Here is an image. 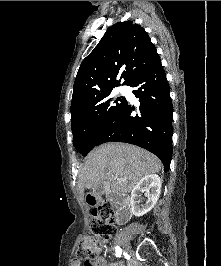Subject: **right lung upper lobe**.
<instances>
[{
    "label": "right lung upper lobe",
    "instance_id": "1",
    "mask_svg": "<svg viewBox=\"0 0 221 266\" xmlns=\"http://www.w3.org/2000/svg\"><path fill=\"white\" fill-rule=\"evenodd\" d=\"M160 62L147 32L132 21L118 22L107 29L78 70L71 102V117L86 110L99 94L112 90L125 79H133ZM120 76V80L117 77Z\"/></svg>",
    "mask_w": 221,
    "mask_h": 266
}]
</instances>
